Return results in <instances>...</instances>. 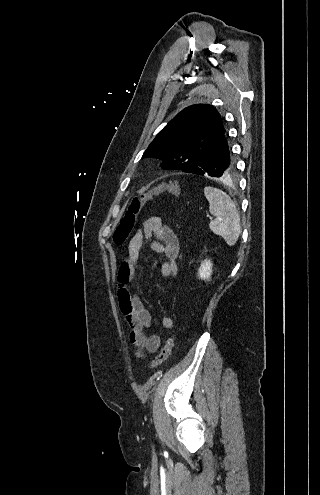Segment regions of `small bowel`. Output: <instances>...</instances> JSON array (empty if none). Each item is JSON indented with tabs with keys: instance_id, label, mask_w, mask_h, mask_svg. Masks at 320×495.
<instances>
[{
	"instance_id": "c3829d8e",
	"label": "small bowel",
	"mask_w": 320,
	"mask_h": 495,
	"mask_svg": "<svg viewBox=\"0 0 320 495\" xmlns=\"http://www.w3.org/2000/svg\"><path fill=\"white\" fill-rule=\"evenodd\" d=\"M145 241L149 242L154 252L165 256L166 260L160 268L162 276L171 277L177 273L178 238L159 217L149 216L131 238L128 245V257L120 265L118 281L122 287L131 280L139 268L140 252ZM118 297L129 327V339L135 348V355L141 358L157 352L162 341L159 335L149 332L153 324L152 316L139 296L125 288H120ZM161 324L166 329L174 327V321L168 316L162 318Z\"/></svg>"
}]
</instances>
